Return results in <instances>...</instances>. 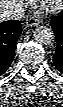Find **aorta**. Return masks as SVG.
Returning a JSON list of instances; mask_svg holds the SVG:
<instances>
[{"mask_svg": "<svg viewBox=\"0 0 63 107\" xmlns=\"http://www.w3.org/2000/svg\"><path fill=\"white\" fill-rule=\"evenodd\" d=\"M33 36L37 43L47 45L54 39V32L47 26H39L34 30Z\"/></svg>", "mask_w": 63, "mask_h": 107, "instance_id": "762f6f07", "label": "aorta"}]
</instances>
